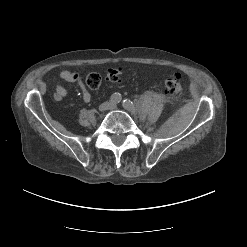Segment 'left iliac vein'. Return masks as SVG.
Masks as SVG:
<instances>
[{
  "mask_svg": "<svg viewBox=\"0 0 247 247\" xmlns=\"http://www.w3.org/2000/svg\"><path fill=\"white\" fill-rule=\"evenodd\" d=\"M109 109L115 110L117 109V105L115 103H111Z\"/></svg>",
  "mask_w": 247,
  "mask_h": 247,
  "instance_id": "1",
  "label": "left iliac vein"
}]
</instances>
